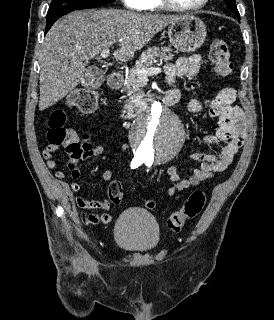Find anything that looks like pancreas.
<instances>
[{"label":"pancreas","mask_w":274,"mask_h":320,"mask_svg":"<svg viewBox=\"0 0 274 320\" xmlns=\"http://www.w3.org/2000/svg\"><path fill=\"white\" fill-rule=\"evenodd\" d=\"M171 48H157V46H152V48H147L146 52H143L139 60L135 64V68L130 70L128 76H126V90L130 94L129 100H126L124 110H135L137 100L135 94L139 92V76L135 74L136 70H142V68H152L154 62L153 60H164V62H169L173 60L174 54Z\"/></svg>","instance_id":"obj_1"}]
</instances>
